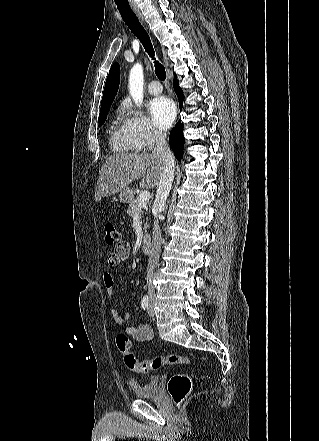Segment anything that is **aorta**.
Returning a JSON list of instances; mask_svg holds the SVG:
<instances>
[{
	"label": "aorta",
	"mask_w": 319,
	"mask_h": 441,
	"mask_svg": "<svg viewBox=\"0 0 319 441\" xmlns=\"http://www.w3.org/2000/svg\"><path fill=\"white\" fill-rule=\"evenodd\" d=\"M129 93L136 105H140L143 100L144 75L143 67L140 63H135L129 74Z\"/></svg>",
	"instance_id": "obj_1"
}]
</instances>
